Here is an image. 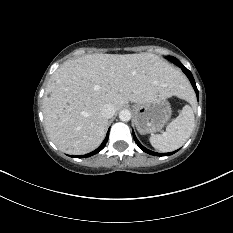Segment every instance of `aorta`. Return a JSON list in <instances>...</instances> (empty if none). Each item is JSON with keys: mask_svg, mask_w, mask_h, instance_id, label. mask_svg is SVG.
Segmentation results:
<instances>
[{"mask_svg": "<svg viewBox=\"0 0 233 233\" xmlns=\"http://www.w3.org/2000/svg\"><path fill=\"white\" fill-rule=\"evenodd\" d=\"M119 119L123 122H127L131 119V112L127 109H123L119 112Z\"/></svg>", "mask_w": 233, "mask_h": 233, "instance_id": "762f6f07", "label": "aorta"}]
</instances>
